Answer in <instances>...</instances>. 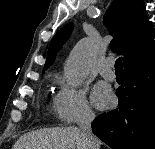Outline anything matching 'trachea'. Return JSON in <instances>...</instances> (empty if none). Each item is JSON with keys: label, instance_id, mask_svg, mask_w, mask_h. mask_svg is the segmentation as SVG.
Instances as JSON below:
<instances>
[{"label": "trachea", "instance_id": "3493384b", "mask_svg": "<svg viewBox=\"0 0 155 149\" xmlns=\"http://www.w3.org/2000/svg\"><path fill=\"white\" fill-rule=\"evenodd\" d=\"M115 70L122 71V57L118 58L115 62Z\"/></svg>", "mask_w": 155, "mask_h": 149}]
</instances>
